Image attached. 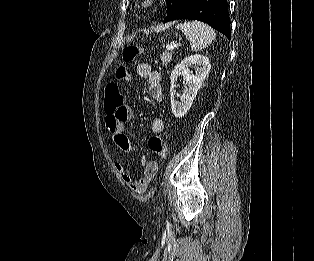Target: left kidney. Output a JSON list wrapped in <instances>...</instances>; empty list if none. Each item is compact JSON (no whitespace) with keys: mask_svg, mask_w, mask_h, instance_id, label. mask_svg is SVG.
<instances>
[{"mask_svg":"<svg viewBox=\"0 0 314 261\" xmlns=\"http://www.w3.org/2000/svg\"><path fill=\"white\" fill-rule=\"evenodd\" d=\"M189 67H193L196 70L195 75L189 70ZM210 68L209 59L205 55L200 54L188 56L175 66L170 76V94L172 113L176 118H182L190 109ZM179 77H183L184 83L188 86L181 96V102L176 101L174 98L176 81Z\"/></svg>","mask_w":314,"mask_h":261,"instance_id":"obj_1","label":"left kidney"}]
</instances>
